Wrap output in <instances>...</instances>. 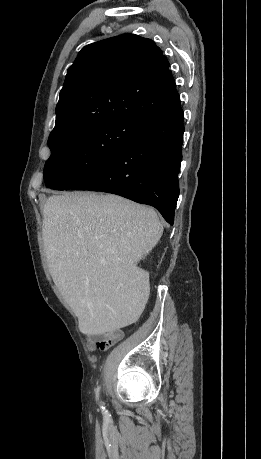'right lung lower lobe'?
Segmentation results:
<instances>
[{
    "instance_id": "right-lung-lower-lobe-1",
    "label": "right lung lower lobe",
    "mask_w": 261,
    "mask_h": 459,
    "mask_svg": "<svg viewBox=\"0 0 261 459\" xmlns=\"http://www.w3.org/2000/svg\"><path fill=\"white\" fill-rule=\"evenodd\" d=\"M183 119L179 104L148 122L117 156L71 189L113 193L151 205L172 225L179 196Z\"/></svg>"
}]
</instances>
